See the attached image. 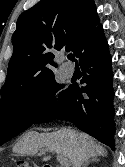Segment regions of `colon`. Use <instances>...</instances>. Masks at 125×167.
Returning a JSON list of instances; mask_svg holds the SVG:
<instances>
[{
  "instance_id": "obj_1",
  "label": "colon",
  "mask_w": 125,
  "mask_h": 167,
  "mask_svg": "<svg viewBox=\"0 0 125 167\" xmlns=\"http://www.w3.org/2000/svg\"><path fill=\"white\" fill-rule=\"evenodd\" d=\"M16 167H32V163L28 160H19L16 164Z\"/></svg>"
}]
</instances>
